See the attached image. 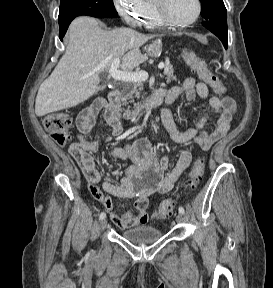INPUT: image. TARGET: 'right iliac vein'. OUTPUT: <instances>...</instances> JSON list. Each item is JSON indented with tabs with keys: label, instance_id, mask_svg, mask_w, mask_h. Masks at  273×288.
Returning a JSON list of instances; mask_svg holds the SVG:
<instances>
[{
	"label": "right iliac vein",
	"instance_id": "63e3f726",
	"mask_svg": "<svg viewBox=\"0 0 273 288\" xmlns=\"http://www.w3.org/2000/svg\"><path fill=\"white\" fill-rule=\"evenodd\" d=\"M106 226H107V220H106V219H103V220L101 221V224H100V230H101V231L105 230Z\"/></svg>",
	"mask_w": 273,
	"mask_h": 288
}]
</instances>
